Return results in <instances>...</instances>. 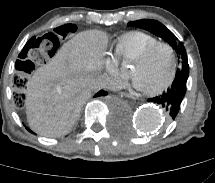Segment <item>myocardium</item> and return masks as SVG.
Listing matches in <instances>:
<instances>
[{
	"mask_svg": "<svg viewBox=\"0 0 215 183\" xmlns=\"http://www.w3.org/2000/svg\"><path fill=\"white\" fill-rule=\"evenodd\" d=\"M160 48H165L169 51L171 58H172V65H173L172 72H171L169 79L164 84H162L161 86H159L155 89H152V90H145V92L150 95H157L159 93H162L163 91L168 89L173 84V82L175 81L177 74H178L177 55L170 44L165 43V42H158V43L146 48L142 52H140L133 59V62H143V61L147 60L157 49H160Z\"/></svg>",
	"mask_w": 215,
	"mask_h": 183,
	"instance_id": "myocardium-1",
	"label": "myocardium"
}]
</instances>
